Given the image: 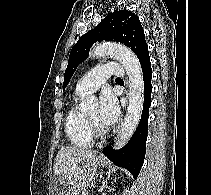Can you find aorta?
<instances>
[{
	"instance_id": "762f6f07",
	"label": "aorta",
	"mask_w": 211,
	"mask_h": 195,
	"mask_svg": "<svg viewBox=\"0 0 211 195\" xmlns=\"http://www.w3.org/2000/svg\"><path fill=\"white\" fill-rule=\"evenodd\" d=\"M106 56L117 59L125 68L129 78V105L124 123L114 141V149H120L135 132L142 115L144 103L143 73L137 56L124 46L114 43H101L97 44L90 52L91 58ZM80 107L84 111L93 110L98 107V101L94 96H87L82 100Z\"/></svg>"
}]
</instances>
